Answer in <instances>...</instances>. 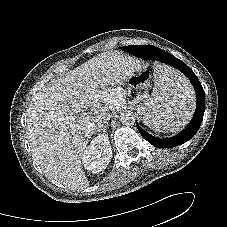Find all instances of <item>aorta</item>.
Returning a JSON list of instances; mask_svg holds the SVG:
<instances>
[{"label":"aorta","mask_w":227,"mask_h":227,"mask_svg":"<svg viewBox=\"0 0 227 227\" xmlns=\"http://www.w3.org/2000/svg\"><path fill=\"white\" fill-rule=\"evenodd\" d=\"M119 120L123 125H132L136 121V116L134 112L125 110L120 113Z\"/></svg>","instance_id":"obj_1"}]
</instances>
